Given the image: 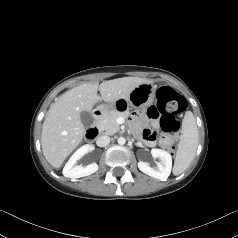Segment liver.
Wrapping results in <instances>:
<instances>
[{
  "label": "liver",
  "instance_id": "6515ba94",
  "mask_svg": "<svg viewBox=\"0 0 238 238\" xmlns=\"http://www.w3.org/2000/svg\"><path fill=\"white\" fill-rule=\"evenodd\" d=\"M152 83L139 77H123L103 81L100 85L84 83L62 94L51 104L42 125L41 146L47 162L59 168L65 158L82 142L85 127L81 112H90L98 101L114 103L129 98L137 86ZM100 91L101 97L97 95Z\"/></svg>",
  "mask_w": 238,
  "mask_h": 238
}]
</instances>
